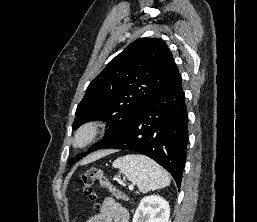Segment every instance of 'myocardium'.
<instances>
[{
    "label": "myocardium",
    "mask_w": 257,
    "mask_h": 222,
    "mask_svg": "<svg viewBox=\"0 0 257 222\" xmlns=\"http://www.w3.org/2000/svg\"><path fill=\"white\" fill-rule=\"evenodd\" d=\"M103 129V123L100 120H90L82 124L75 131L72 138V146L82 149L92 144Z\"/></svg>",
    "instance_id": "obj_1"
}]
</instances>
